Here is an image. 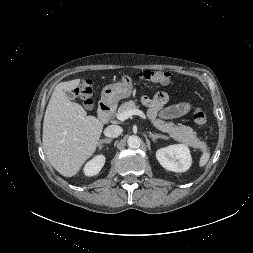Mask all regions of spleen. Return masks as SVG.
Returning a JSON list of instances; mask_svg holds the SVG:
<instances>
[{"label":"spleen","instance_id":"obj_1","mask_svg":"<svg viewBox=\"0 0 253 253\" xmlns=\"http://www.w3.org/2000/svg\"><path fill=\"white\" fill-rule=\"evenodd\" d=\"M209 158H210V151L209 150L204 151L202 156L200 157L199 166L200 167L205 166L209 161Z\"/></svg>","mask_w":253,"mask_h":253}]
</instances>
